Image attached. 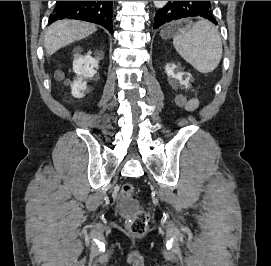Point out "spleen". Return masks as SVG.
<instances>
[{"label": "spleen", "instance_id": "spleen-1", "mask_svg": "<svg viewBox=\"0 0 271 266\" xmlns=\"http://www.w3.org/2000/svg\"><path fill=\"white\" fill-rule=\"evenodd\" d=\"M173 44L180 56L202 74L211 73L222 58L219 31L207 20L179 29Z\"/></svg>", "mask_w": 271, "mask_h": 266}]
</instances>
